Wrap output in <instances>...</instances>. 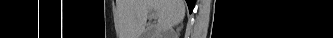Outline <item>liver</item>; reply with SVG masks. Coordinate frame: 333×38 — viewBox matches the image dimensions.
Masks as SVG:
<instances>
[{
    "instance_id": "6515ba94",
    "label": "liver",
    "mask_w": 333,
    "mask_h": 38,
    "mask_svg": "<svg viewBox=\"0 0 333 38\" xmlns=\"http://www.w3.org/2000/svg\"><path fill=\"white\" fill-rule=\"evenodd\" d=\"M185 9L184 0H137L135 9L136 36L139 37L143 34L150 10L157 14L156 28L166 30L183 20Z\"/></svg>"
}]
</instances>
